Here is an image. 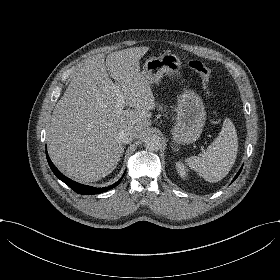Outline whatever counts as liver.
<instances>
[{"label": "liver", "instance_id": "obj_1", "mask_svg": "<svg viewBox=\"0 0 280 280\" xmlns=\"http://www.w3.org/2000/svg\"><path fill=\"white\" fill-rule=\"evenodd\" d=\"M148 50L110 53L106 65L102 55L89 58L72 76L53 111L48 146L54 164L68 177L89 183L107 176L124 152L118 132L131 131L139 139L151 125L156 103L139 63ZM120 95L133 109L120 108Z\"/></svg>", "mask_w": 280, "mask_h": 280}]
</instances>
